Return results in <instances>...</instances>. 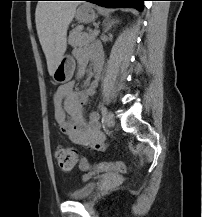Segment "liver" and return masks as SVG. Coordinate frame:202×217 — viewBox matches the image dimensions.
Listing matches in <instances>:
<instances>
[{"mask_svg":"<svg viewBox=\"0 0 202 217\" xmlns=\"http://www.w3.org/2000/svg\"><path fill=\"white\" fill-rule=\"evenodd\" d=\"M78 3L40 2L35 12L36 29L52 76L67 49V29Z\"/></svg>","mask_w":202,"mask_h":217,"instance_id":"6515ba94","label":"liver"}]
</instances>
